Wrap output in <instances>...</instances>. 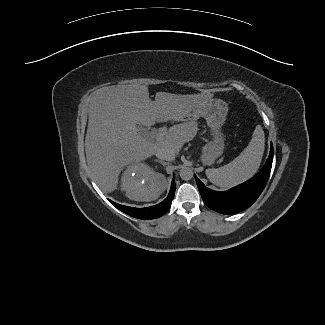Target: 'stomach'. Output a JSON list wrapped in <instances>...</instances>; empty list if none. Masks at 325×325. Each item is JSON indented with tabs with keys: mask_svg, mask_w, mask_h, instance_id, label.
<instances>
[{
	"mask_svg": "<svg viewBox=\"0 0 325 325\" xmlns=\"http://www.w3.org/2000/svg\"><path fill=\"white\" fill-rule=\"evenodd\" d=\"M227 113L228 105L226 102L221 99H211L196 109L192 115L186 116L188 122H192L199 117L205 118L207 125L211 129L213 140L202 149L201 161L205 165L213 164L223 154L224 139L221 126L225 123Z\"/></svg>",
	"mask_w": 325,
	"mask_h": 325,
	"instance_id": "0dacf381",
	"label": "stomach"
}]
</instances>
